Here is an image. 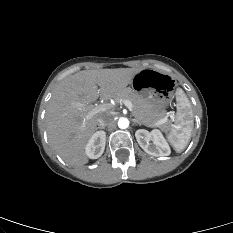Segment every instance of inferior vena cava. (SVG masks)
<instances>
[{
  "instance_id": "602c4592",
  "label": "inferior vena cava",
  "mask_w": 233,
  "mask_h": 233,
  "mask_svg": "<svg viewBox=\"0 0 233 233\" xmlns=\"http://www.w3.org/2000/svg\"><path fill=\"white\" fill-rule=\"evenodd\" d=\"M112 121H113V115L111 113H107L98 119L97 124L101 127H104L106 125H109Z\"/></svg>"
}]
</instances>
